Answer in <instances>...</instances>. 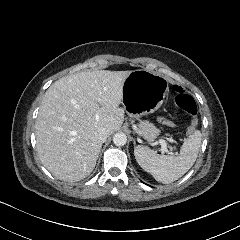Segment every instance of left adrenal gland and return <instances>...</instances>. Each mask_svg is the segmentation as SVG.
I'll use <instances>...</instances> for the list:
<instances>
[{
  "label": "left adrenal gland",
  "instance_id": "left-adrenal-gland-1",
  "mask_svg": "<svg viewBox=\"0 0 240 240\" xmlns=\"http://www.w3.org/2000/svg\"><path fill=\"white\" fill-rule=\"evenodd\" d=\"M134 147H136V141L134 140Z\"/></svg>",
  "mask_w": 240,
  "mask_h": 240
}]
</instances>
